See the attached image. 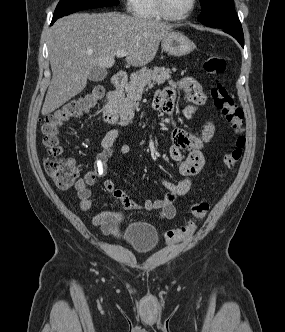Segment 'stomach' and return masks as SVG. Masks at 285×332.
<instances>
[{"instance_id":"obj_1","label":"stomach","mask_w":285,"mask_h":332,"mask_svg":"<svg viewBox=\"0 0 285 332\" xmlns=\"http://www.w3.org/2000/svg\"><path fill=\"white\" fill-rule=\"evenodd\" d=\"M162 48L169 55L184 56L194 49L193 42L180 32L170 31L162 40Z\"/></svg>"}]
</instances>
